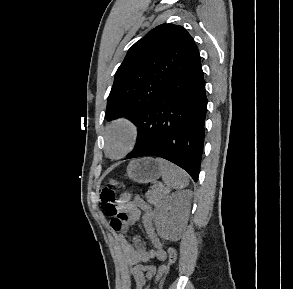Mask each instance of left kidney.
Returning <instances> with one entry per match:
<instances>
[{
  "label": "left kidney",
  "instance_id": "1",
  "mask_svg": "<svg viewBox=\"0 0 293 289\" xmlns=\"http://www.w3.org/2000/svg\"><path fill=\"white\" fill-rule=\"evenodd\" d=\"M191 192L186 190L168 196L155 212V225L158 235L165 240L180 238L190 211Z\"/></svg>",
  "mask_w": 293,
  "mask_h": 289
}]
</instances>
